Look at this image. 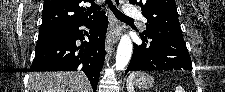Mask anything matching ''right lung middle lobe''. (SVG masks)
Instances as JSON below:
<instances>
[{
	"label": "right lung middle lobe",
	"mask_w": 225,
	"mask_h": 92,
	"mask_svg": "<svg viewBox=\"0 0 225 92\" xmlns=\"http://www.w3.org/2000/svg\"><path fill=\"white\" fill-rule=\"evenodd\" d=\"M68 30L69 28L64 27L39 28V36L37 42L63 37L65 36Z\"/></svg>",
	"instance_id": "1"
}]
</instances>
